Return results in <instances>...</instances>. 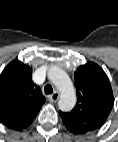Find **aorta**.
<instances>
[{"label":"aorta","mask_w":118,"mask_h":142,"mask_svg":"<svg viewBox=\"0 0 118 142\" xmlns=\"http://www.w3.org/2000/svg\"><path fill=\"white\" fill-rule=\"evenodd\" d=\"M48 78L60 92L58 107L61 111L68 112L76 104V92L73 83L67 73L57 66L48 70Z\"/></svg>","instance_id":"762f6f07"}]
</instances>
